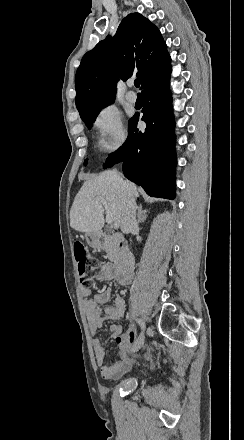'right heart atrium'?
Listing matches in <instances>:
<instances>
[{"instance_id": "right-heart-atrium-1", "label": "right heart atrium", "mask_w": 244, "mask_h": 440, "mask_svg": "<svg viewBox=\"0 0 244 440\" xmlns=\"http://www.w3.org/2000/svg\"><path fill=\"white\" fill-rule=\"evenodd\" d=\"M93 126L99 134L102 149L114 151L123 143L125 133L122 116L115 106L109 105L99 110Z\"/></svg>"}]
</instances>
